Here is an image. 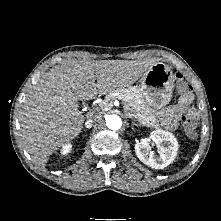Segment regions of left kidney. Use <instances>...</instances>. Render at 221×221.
<instances>
[{"instance_id": "5707ae66", "label": "left kidney", "mask_w": 221, "mask_h": 221, "mask_svg": "<svg viewBox=\"0 0 221 221\" xmlns=\"http://www.w3.org/2000/svg\"><path fill=\"white\" fill-rule=\"evenodd\" d=\"M153 141L159 148V156L154 155L149 142ZM178 142L168 131L155 130L148 138H142L135 144V153L139 160L154 169H163L173 162L177 155Z\"/></svg>"}]
</instances>
